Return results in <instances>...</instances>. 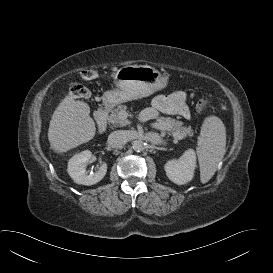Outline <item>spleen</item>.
<instances>
[{
  "mask_svg": "<svg viewBox=\"0 0 273 273\" xmlns=\"http://www.w3.org/2000/svg\"><path fill=\"white\" fill-rule=\"evenodd\" d=\"M226 129L222 120L214 115L203 121L198 137L197 155L200 167V180L208 182L215 174L225 155Z\"/></svg>",
  "mask_w": 273,
  "mask_h": 273,
  "instance_id": "spleen-1",
  "label": "spleen"
}]
</instances>
